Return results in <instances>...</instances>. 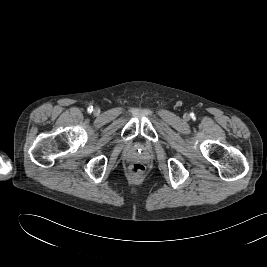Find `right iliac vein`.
<instances>
[{"instance_id":"63e3f726","label":"right iliac vein","mask_w":267,"mask_h":267,"mask_svg":"<svg viewBox=\"0 0 267 267\" xmlns=\"http://www.w3.org/2000/svg\"><path fill=\"white\" fill-rule=\"evenodd\" d=\"M98 112H99V108L96 107V108L94 109V113H98Z\"/></svg>"}]
</instances>
